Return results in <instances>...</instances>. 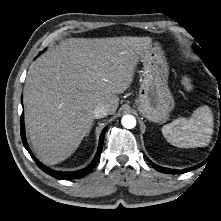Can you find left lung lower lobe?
Returning <instances> with one entry per match:
<instances>
[{
	"label": "left lung lower lobe",
	"instance_id": "1",
	"mask_svg": "<svg viewBox=\"0 0 221 221\" xmlns=\"http://www.w3.org/2000/svg\"><path fill=\"white\" fill-rule=\"evenodd\" d=\"M204 60V57L202 58ZM205 61V60H204ZM221 119V118H220ZM150 164L157 170V171H160L162 173H166V174H180V173H186V172H189V171H192L196 168H198L199 166H194V167H191V168H188V169H184V170H174V169H168V168H164V167H160V166H157L155 165L154 163H152L150 160H149Z\"/></svg>",
	"mask_w": 221,
	"mask_h": 221
}]
</instances>
